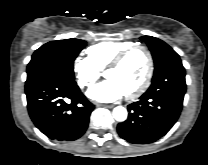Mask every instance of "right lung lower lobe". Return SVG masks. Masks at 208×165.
Segmentation results:
<instances>
[{
	"label": "right lung lower lobe",
	"mask_w": 208,
	"mask_h": 165,
	"mask_svg": "<svg viewBox=\"0 0 208 165\" xmlns=\"http://www.w3.org/2000/svg\"><path fill=\"white\" fill-rule=\"evenodd\" d=\"M25 93L33 123L48 138L73 141L85 133L94 105L74 80L42 75L26 83Z\"/></svg>",
	"instance_id": "98d812e1"
}]
</instances>
